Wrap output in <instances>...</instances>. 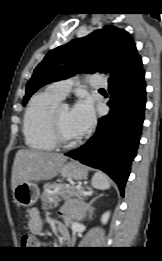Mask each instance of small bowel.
Instances as JSON below:
<instances>
[{
    "label": "small bowel",
    "mask_w": 162,
    "mask_h": 261,
    "mask_svg": "<svg viewBox=\"0 0 162 261\" xmlns=\"http://www.w3.org/2000/svg\"><path fill=\"white\" fill-rule=\"evenodd\" d=\"M29 226L33 233H40L43 227L40 212L37 208L29 211Z\"/></svg>",
    "instance_id": "obj_1"
}]
</instances>
